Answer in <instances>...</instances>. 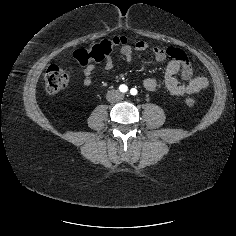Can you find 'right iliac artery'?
I'll return each mask as SVG.
<instances>
[{"label": "right iliac artery", "mask_w": 236, "mask_h": 236, "mask_svg": "<svg viewBox=\"0 0 236 236\" xmlns=\"http://www.w3.org/2000/svg\"><path fill=\"white\" fill-rule=\"evenodd\" d=\"M119 90H120V92L125 93L128 91V87L126 85L122 84L119 86Z\"/></svg>", "instance_id": "1"}]
</instances>
